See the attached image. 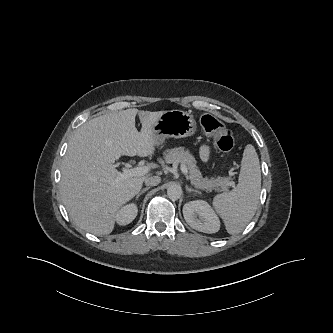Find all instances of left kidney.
<instances>
[{
  "mask_svg": "<svg viewBox=\"0 0 333 333\" xmlns=\"http://www.w3.org/2000/svg\"><path fill=\"white\" fill-rule=\"evenodd\" d=\"M183 216L188 225L199 232L216 233L220 229L219 218L206 201L195 200L186 203Z\"/></svg>",
  "mask_w": 333,
  "mask_h": 333,
  "instance_id": "5707ae66",
  "label": "left kidney"
}]
</instances>
